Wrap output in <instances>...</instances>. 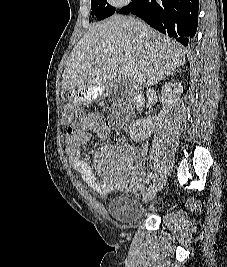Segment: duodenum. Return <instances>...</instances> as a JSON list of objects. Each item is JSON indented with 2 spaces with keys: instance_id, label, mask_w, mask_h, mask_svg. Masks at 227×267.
<instances>
[{
  "instance_id": "duodenum-1",
  "label": "duodenum",
  "mask_w": 227,
  "mask_h": 267,
  "mask_svg": "<svg viewBox=\"0 0 227 267\" xmlns=\"http://www.w3.org/2000/svg\"><path fill=\"white\" fill-rule=\"evenodd\" d=\"M123 92L128 96L134 110H139L144 106L145 99L143 95L129 87H123Z\"/></svg>"
}]
</instances>
